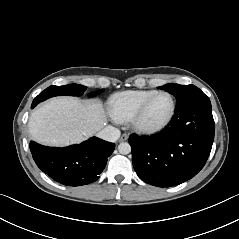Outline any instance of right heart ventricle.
Wrapping results in <instances>:
<instances>
[{"label": "right heart ventricle", "mask_w": 239, "mask_h": 239, "mask_svg": "<svg viewBox=\"0 0 239 239\" xmlns=\"http://www.w3.org/2000/svg\"><path fill=\"white\" fill-rule=\"evenodd\" d=\"M155 92L154 90H126L114 93L108 99L109 112L114 119L127 121L138 106Z\"/></svg>", "instance_id": "1"}]
</instances>
